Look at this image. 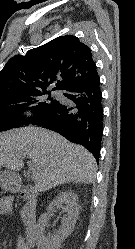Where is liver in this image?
<instances>
[{"mask_svg": "<svg viewBox=\"0 0 135 249\" xmlns=\"http://www.w3.org/2000/svg\"><path fill=\"white\" fill-rule=\"evenodd\" d=\"M28 157L38 165L35 189L47 191L65 183L93 182L97 165L83 146L39 127H23L0 133V168L19 171Z\"/></svg>", "mask_w": 135, "mask_h": 249, "instance_id": "1", "label": "liver"}]
</instances>
